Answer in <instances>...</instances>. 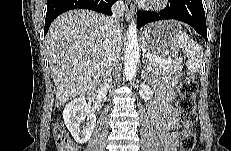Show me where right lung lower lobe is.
<instances>
[{"mask_svg": "<svg viewBox=\"0 0 231 151\" xmlns=\"http://www.w3.org/2000/svg\"><path fill=\"white\" fill-rule=\"evenodd\" d=\"M117 0H48L44 35L47 34L52 21L63 12L71 9H89L112 15L111 6Z\"/></svg>", "mask_w": 231, "mask_h": 151, "instance_id": "1", "label": "right lung lower lobe"}]
</instances>
